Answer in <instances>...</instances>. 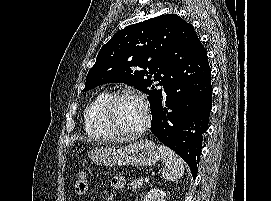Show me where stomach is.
<instances>
[{"mask_svg":"<svg viewBox=\"0 0 271 201\" xmlns=\"http://www.w3.org/2000/svg\"><path fill=\"white\" fill-rule=\"evenodd\" d=\"M91 161L103 166H152L161 158L158 146L151 140H140L127 146L97 147L88 152Z\"/></svg>","mask_w":271,"mask_h":201,"instance_id":"stomach-1","label":"stomach"}]
</instances>
